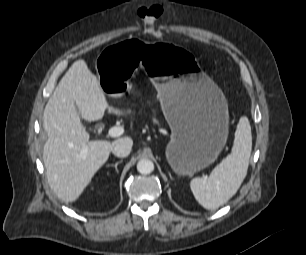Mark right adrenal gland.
Wrapping results in <instances>:
<instances>
[{
    "instance_id": "right-adrenal-gland-1",
    "label": "right adrenal gland",
    "mask_w": 306,
    "mask_h": 255,
    "mask_svg": "<svg viewBox=\"0 0 306 255\" xmlns=\"http://www.w3.org/2000/svg\"><path fill=\"white\" fill-rule=\"evenodd\" d=\"M123 162V160H120V161H118V162H116L115 164H110V165H108V166H111V167H114L115 168V170H116V172H118V165L120 164V163H122Z\"/></svg>"
}]
</instances>
